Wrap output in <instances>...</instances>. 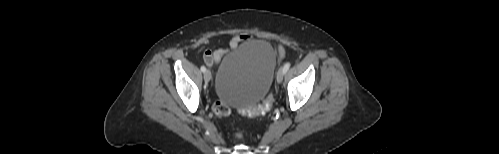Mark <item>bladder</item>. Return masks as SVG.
<instances>
[{
	"instance_id": "31cf9c89",
	"label": "bladder",
	"mask_w": 499,
	"mask_h": 154,
	"mask_svg": "<svg viewBox=\"0 0 499 154\" xmlns=\"http://www.w3.org/2000/svg\"><path fill=\"white\" fill-rule=\"evenodd\" d=\"M276 53L270 42L258 39L227 53L216 73V94L228 107L255 105L268 93L276 69Z\"/></svg>"
}]
</instances>
